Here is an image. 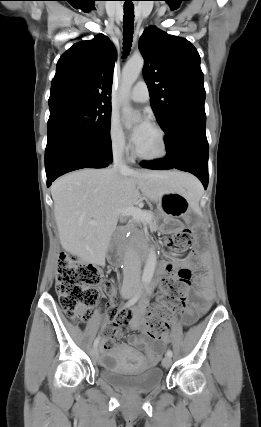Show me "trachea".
I'll return each instance as SVG.
<instances>
[{"mask_svg": "<svg viewBox=\"0 0 261 427\" xmlns=\"http://www.w3.org/2000/svg\"><path fill=\"white\" fill-rule=\"evenodd\" d=\"M134 29V5L132 3L124 4L123 18V36H124V54L127 55L130 51Z\"/></svg>", "mask_w": 261, "mask_h": 427, "instance_id": "1", "label": "trachea"}]
</instances>
